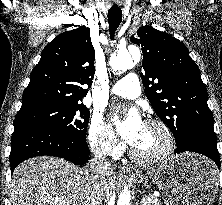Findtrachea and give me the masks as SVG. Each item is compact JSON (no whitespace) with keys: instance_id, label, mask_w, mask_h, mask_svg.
<instances>
[{"instance_id":"trachea-1","label":"trachea","mask_w":222,"mask_h":205,"mask_svg":"<svg viewBox=\"0 0 222 205\" xmlns=\"http://www.w3.org/2000/svg\"><path fill=\"white\" fill-rule=\"evenodd\" d=\"M122 20V10L113 6L108 10V23L111 39L114 40L115 32Z\"/></svg>"}]
</instances>
